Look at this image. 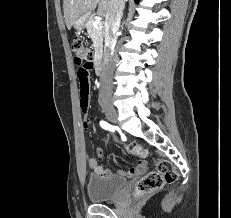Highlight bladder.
I'll list each match as a JSON object with an SVG mask.
<instances>
[{
  "label": "bladder",
  "mask_w": 231,
  "mask_h": 218,
  "mask_svg": "<svg viewBox=\"0 0 231 218\" xmlns=\"http://www.w3.org/2000/svg\"><path fill=\"white\" fill-rule=\"evenodd\" d=\"M126 180L119 176L90 175L87 181V194L94 203L116 198L125 187Z\"/></svg>",
  "instance_id": "obj_1"
}]
</instances>
